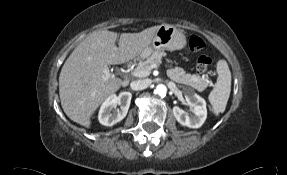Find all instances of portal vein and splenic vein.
<instances>
[{
	"label": "portal vein and splenic vein",
	"instance_id": "portal-vein-and-splenic-vein-1",
	"mask_svg": "<svg viewBox=\"0 0 287 175\" xmlns=\"http://www.w3.org/2000/svg\"><path fill=\"white\" fill-rule=\"evenodd\" d=\"M156 67H157L156 64H152L148 69L144 70L135 69L134 71L131 72V75L135 77H147L150 74L151 70ZM105 75L106 78L110 77V73L108 71L105 72Z\"/></svg>",
	"mask_w": 287,
	"mask_h": 175
}]
</instances>
